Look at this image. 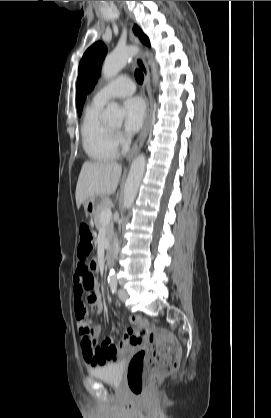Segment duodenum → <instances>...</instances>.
<instances>
[{"label":"duodenum","instance_id":"1","mask_svg":"<svg viewBox=\"0 0 271 418\" xmlns=\"http://www.w3.org/2000/svg\"><path fill=\"white\" fill-rule=\"evenodd\" d=\"M114 260V247L110 246L106 252V266L110 267Z\"/></svg>","mask_w":271,"mask_h":418}]
</instances>
